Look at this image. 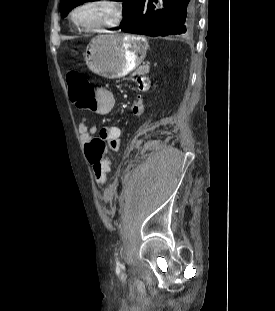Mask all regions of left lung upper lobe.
Masks as SVG:
<instances>
[{
    "label": "left lung upper lobe",
    "mask_w": 275,
    "mask_h": 311,
    "mask_svg": "<svg viewBox=\"0 0 275 311\" xmlns=\"http://www.w3.org/2000/svg\"><path fill=\"white\" fill-rule=\"evenodd\" d=\"M95 1V0H61L60 9L62 14L66 16L69 11L78 6L81 3ZM115 1H123L125 6L123 7V20L121 22L122 26H126L132 21L135 20L137 13L143 4L144 0H115Z\"/></svg>",
    "instance_id": "left-lung-upper-lobe-1"
}]
</instances>
